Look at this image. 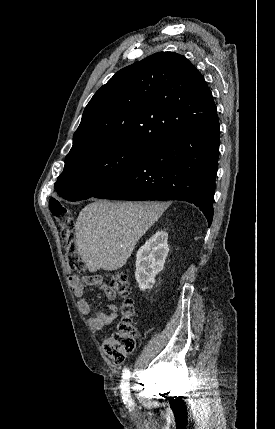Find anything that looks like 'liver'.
<instances>
[{"instance_id":"1","label":"liver","mask_w":275,"mask_h":429,"mask_svg":"<svg viewBox=\"0 0 275 429\" xmlns=\"http://www.w3.org/2000/svg\"><path fill=\"white\" fill-rule=\"evenodd\" d=\"M166 208L160 202L95 201L75 224L76 246L90 272L122 268L136 243Z\"/></svg>"}]
</instances>
